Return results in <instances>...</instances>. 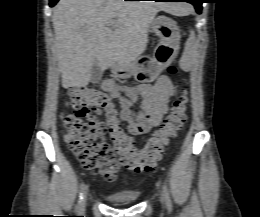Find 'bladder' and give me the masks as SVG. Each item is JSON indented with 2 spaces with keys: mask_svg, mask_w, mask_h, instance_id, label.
I'll use <instances>...</instances> for the list:
<instances>
[{
  "mask_svg": "<svg viewBox=\"0 0 260 217\" xmlns=\"http://www.w3.org/2000/svg\"><path fill=\"white\" fill-rule=\"evenodd\" d=\"M138 198V193H125L119 195H110L107 197V200L114 205H127L136 202Z\"/></svg>",
  "mask_w": 260,
  "mask_h": 217,
  "instance_id": "31cf9c89",
  "label": "bladder"
}]
</instances>
